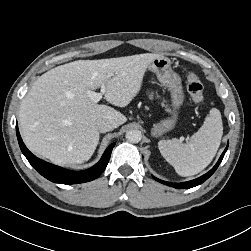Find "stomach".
<instances>
[{
    "instance_id": "0dacf381",
    "label": "stomach",
    "mask_w": 251,
    "mask_h": 251,
    "mask_svg": "<svg viewBox=\"0 0 251 251\" xmlns=\"http://www.w3.org/2000/svg\"><path fill=\"white\" fill-rule=\"evenodd\" d=\"M148 69L156 74L160 83L170 92L171 97V116L154 124L151 131L152 136L159 137L174 129L178 119V111L185 97L181 77L172 69L169 58L159 56L153 59Z\"/></svg>"
}]
</instances>
